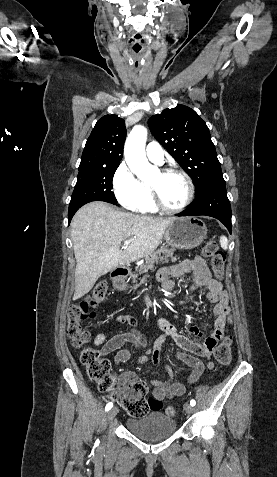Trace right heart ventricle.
Masks as SVG:
<instances>
[{
	"instance_id": "1",
	"label": "right heart ventricle",
	"mask_w": 277,
	"mask_h": 477,
	"mask_svg": "<svg viewBox=\"0 0 277 477\" xmlns=\"http://www.w3.org/2000/svg\"><path fill=\"white\" fill-rule=\"evenodd\" d=\"M144 197L141 203L134 209L137 212L144 214H152L157 211L156 206L154 205L149 186L142 183Z\"/></svg>"
}]
</instances>
